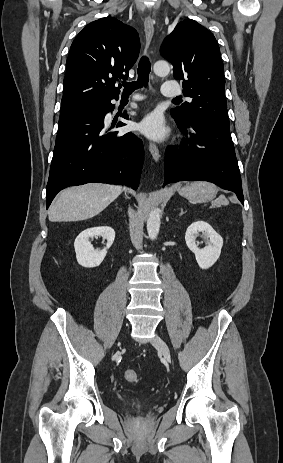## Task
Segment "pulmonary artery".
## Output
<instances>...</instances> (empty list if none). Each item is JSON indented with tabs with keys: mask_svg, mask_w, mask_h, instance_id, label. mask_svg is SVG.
<instances>
[{
	"mask_svg": "<svg viewBox=\"0 0 283 463\" xmlns=\"http://www.w3.org/2000/svg\"><path fill=\"white\" fill-rule=\"evenodd\" d=\"M181 93V88L174 82L167 81L161 86V94L165 97L178 98Z\"/></svg>",
	"mask_w": 283,
	"mask_h": 463,
	"instance_id": "e3ab8cb5",
	"label": "pulmonary artery"
}]
</instances>
